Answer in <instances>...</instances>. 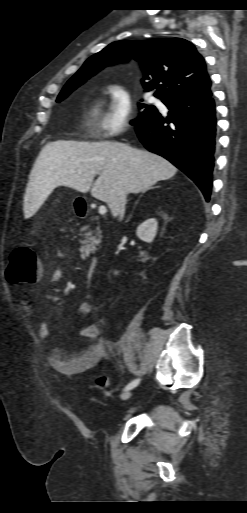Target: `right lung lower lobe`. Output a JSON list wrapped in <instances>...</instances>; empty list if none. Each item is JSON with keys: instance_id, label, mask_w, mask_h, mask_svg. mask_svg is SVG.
<instances>
[{"instance_id": "obj_1", "label": "right lung lower lobe", "mask_w": 247, "mask_h": 513, "mask_svg": "<svg viewBox=\"0 0 247 513\" xmlns=\"http://www.w3.org/2000/svg\"><path fill=\"white\" fill-rule=\"evenodd\" d=\"M167 117L158 111L138 123L135 131L143 145L189 176L209 201L216 146L215 103L212 94L197 99L163 102Z\"/></svg>"}]
</instances>
